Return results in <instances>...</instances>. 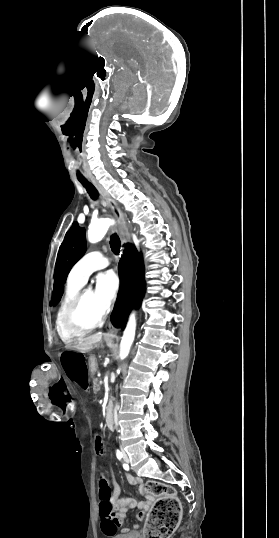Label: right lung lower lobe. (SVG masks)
Here are the masks:
<instances>
[{
	"label": "right lung lower lobe",
	"mask_w": 279,
	"mask_h": 538,
	"mask_svg": "<svg viewBox=\"0 0 279 538\" xmlns=\"http://www.w3.org/2000/svg\"><path fill=\"white\" fill-rule=\"evenodd\" d=\"M118 270L121 287L111 321L114 326L124 328L130 309L139 307L145 292L144 264L141 255L131 247L126 248Z\"/></svg>",
	"instance_id": "1"
}]
</instances>
